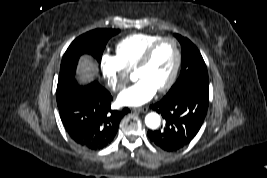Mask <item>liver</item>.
<instances>
[{"label": "liver", "mask_w": 267, "mask_h": 178, "mask_svg": "<svg viewBox=\"0 0 267 178\" xmlns=\"http://www.w3.org/2000/svg\"><path fill=\"white\" fill-rule=\"evenodd\" d=\"M98 75V67L91 57L83 56L80 59L77 77L81 82L93 80Z\"/></svg>", "instance_id": "obj_1"}]
</instances>
